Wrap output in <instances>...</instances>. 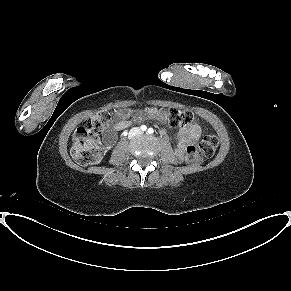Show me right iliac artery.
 Here are the masks:
<instances>
[{"label": "right iliac artery", "instance_id": "obj_1", "mask_svg": "<svg viewBox=\"0 0 291 291\" xmlns=\"http://www.w3.org/2000/svg\"><path fill=\"white\" fill-rule=\"evenodd\" d=\"M140 128L142 131H146V129H147V127L145 125H142Z\"/></svg>", "mask_w": 291, "mask_h": 291}]
</instances>
